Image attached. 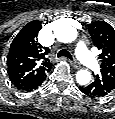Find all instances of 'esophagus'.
Returning a JSON list of instances; mask_svg holds the SVG:
<instances>
[{"label":"esophagus","instance_id":"esophagus-1","mask_svg":"<svg viewBox=\"0 0 115 119\" xmlns=\"http://www.w3.org/2000/svg\"><path fill=\"white\" fill-rule=\"evenodd\" d=\"M69 62L74 68L76 69L80 68V64L75 59L69 60Z\"/></svg>","mask_w":115,"mask_h":119}]
</instances>
